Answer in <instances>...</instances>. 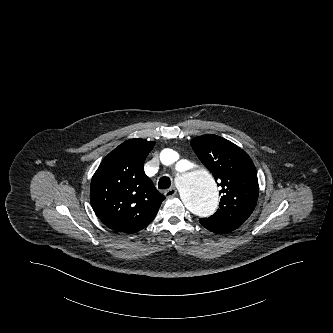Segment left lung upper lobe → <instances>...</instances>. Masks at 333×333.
Wrapping results in <instances>:
<instances>
[{
  "instance_id": "5c2ea615",
  "label": "left lung upper lobe",
  "mask_w": 333,
  "mask_h": 333,
  "mask_svg": "<svg viewBox=\"0 0 333 333\" xmlns=\"http://www.w3.org/2000/svg\"><path fill=\"white\" fill-rule=\"evenodd\" d=\"M191 146L222 188L218 210L200 223L221 233L237 229L257 203L259 186L254 163L245 151L217 135L196 137Z\"/></svg>"
}]
</instances>
